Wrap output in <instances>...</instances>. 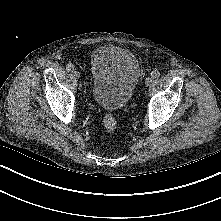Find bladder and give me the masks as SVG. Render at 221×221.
Listing matches in <instances>:
<instances>
[{"mask_svg":"<svg viewBox=\"0 0 221 221\" xmlns=\"http://www.w3.org/2000/svg\"><path fill=\"white\" fill-rule=\"evenodd\" d=\"M90 69L93 101L108 111L125 107L132 99L141 76L135 55L122 47L104 45L93 51Z\"/></svg>","mask_w":221,"mask_h":221,"instance_id":"bladder-1","label":"bladder"}]
</instances>
